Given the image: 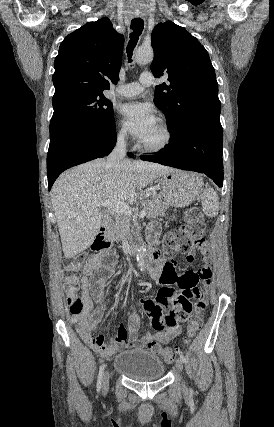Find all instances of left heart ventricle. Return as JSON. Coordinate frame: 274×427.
Here are the masks:
<instances>
[{"label": "left heart ventricle", "instance_id": "b2bd125f", "mask_svg": "<svg viewBox=\"0 0 274 427\" xmlns=\"http://www.w3.org/2000/svg\"><path fill=\"white\" fill-rule=\"evenodd\" d=\"M164 139V130L157 121L153 129L147 134L146 137L141 139L140 142L149 146H158L164 141Z\"/></svg>", "mask_w": 274, "mask_h": 427}]
</instances>
